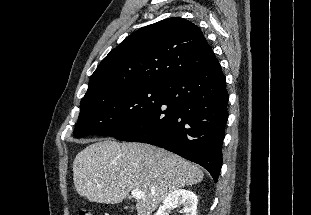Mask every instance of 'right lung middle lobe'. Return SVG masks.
Instances as JSON below:
<instances>
[{"instance_id":"right-lung-middle-lobe-1","label":"right lung middle lobe","mask_w":311,"mask_h":215,"mask_svg":"<svg viewBox=\"0 0 311 215\" xmlns=\"http://www.w3.org/2000/svg\"><path fill=\"white\" fill-rule=\"evenodd\" d=\"M163 86H134L97 92L80 102L74 136H116L150 115L161 103Z\"/></svg>"}]
</instances>
